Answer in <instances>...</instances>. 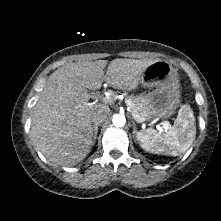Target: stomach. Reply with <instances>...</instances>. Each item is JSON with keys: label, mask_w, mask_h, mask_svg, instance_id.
Returning <instances> with one entry per match:
<instances>
[{"label": "stomach", "mask_w": 221, "mask_h": 221, "mask_svg": "<svg viewBox=\"0 0 221 221\" xmlns=\"http://www.w3.org/2000/svg\"><path fill=\"white\" fill-rule=\"evenodd\" d=\"M139 82L152 89L145 97L148 120L168 118L175 113L180 103V84L177 70L168 61H154L142 73Z\"/></svg>", "instance_id": "0dacf381"}]
</instances>
